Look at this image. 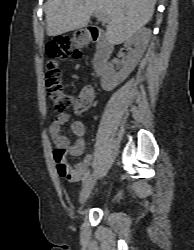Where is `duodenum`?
<instances>
[{
    "label": "duodenum",
    "mask_w": 194,
    "mask_h": 250,
    "mask_svg": "<svg viewBox=\"0 0 194 250\" xmlns=\"http://www.w3.org/2000/svg\"><path fill=\"white\" fill-rule=\"evenodd\" d=\"M86 37L96 43V53L93 59V70L96 74H100L113 52V44L105 35L103 30L97 25H89L87 27Z\"/></svg>",
    "instance_id": "obj_1"
}]
</instances>
